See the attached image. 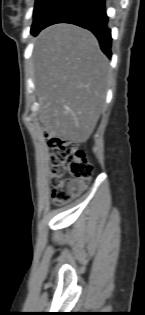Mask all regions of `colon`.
Returning a JSON list of instances; mask_svg holds the SVG:
<instances>
[{
	"label": "colon",
	"instance_id": "obj_1",
	"mask_svg": "<svg viewBox=\"0 0 145 315\" xmlns=\"http://www.w3.org/2000/svg\"><path fill=\"white\" fill-rule=\"evenodd\" d=\"M46 139L51 147L52 197L55 205L62 206L87 185L93 166L76 142L55 134H47Z\"/></svg>",
	"mask_w": 145,
	"mask_h": 315
}]
</instances>
